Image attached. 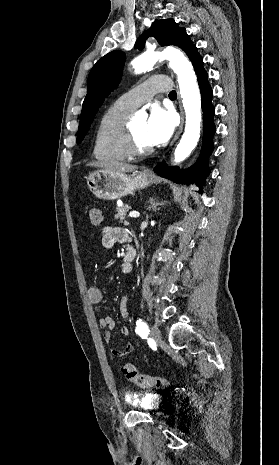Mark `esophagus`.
Returning a JSON list of instances; mask_svg holds the SVG:
<instances>
[{
	"mask_svg": "<svg viewBox=\"0 0 279 465\" xmlns=\"http://www.w3.org/2000/svg\"><path fill=\"white\" fill-rule=\"evenodd\" d=\"M179 107H180V111H181V124L179 126V129H178V132L176 133L172 143H174V141H176L179 137V135L181 134L182 132V129H183V124H184V112H183V107H182V104L181 102L179 101ZM149 172L146 171V174H148Z\"/></svg>",
	"mask_w": 279,
	"mask_h": 465,
	"instance_id": "34e87169",
	"label": "esophagus"
}]
</instances>
